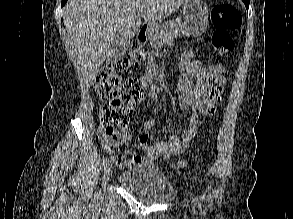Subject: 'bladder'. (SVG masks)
<instances>
[{"label": "bladder", "mask_w": 293, "mask_h": 219, "mask_svg": "<svg viewBox=\"0 0 293 219\" xmlns=\"http://www.w3.org/2000/svg\"><path fill=\"white\" fill-rule=\"evenodd\" d=\"M123 189L145 205L167 204L175 190L165 174L154 165L133 166L119 176Z\"/></svg>", "instance_id": "1"}]
</instances>
